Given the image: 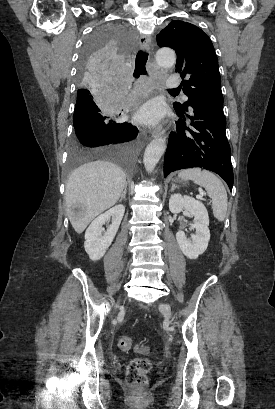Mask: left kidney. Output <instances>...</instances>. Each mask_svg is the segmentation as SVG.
<instances>
[{"label":"left kidney","instance_id":"left-kidney-1","mask_svg":"<svg viewBox=\"0 0 275 409\" xmlns=\"http://www.w3.org/2000/svg\"><path fill=\"white\" fill-rule=\"evenodd\" d=\"M183 209L188 211L189 217H194V225L192 227L196 229V235H191V239H186L184 231H178L176 235L177 243L185 257H188V259H198L199 255L205 253L210 241L207 209L201 200H196L192 196L171 194L169 211L171 213H181Z\"/></svg>","mask_w":275,"mask_h":409}]
</instances>
